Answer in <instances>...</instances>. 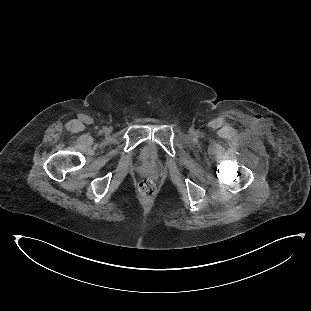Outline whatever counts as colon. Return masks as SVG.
<instances>
[{
  "instance_id": "5ec220e1",
  "label": "colon",
  "mask_w": 311,
  "mask_h": 311,
  "mask_svg": "<svg viewBox=\"0 0 311 311\" xmlns=\"http://www.w3.org/2000/svg\"><path fill=\"white\" fill-rule=\"evenodd\" d=\"M139 193L144 196L152 195L156 191V185L151 178L145 177L137 184Z\"/></svg>"
}]
</instances>
